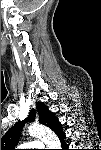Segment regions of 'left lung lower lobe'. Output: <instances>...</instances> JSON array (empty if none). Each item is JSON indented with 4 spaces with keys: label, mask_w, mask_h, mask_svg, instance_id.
Returning <instances> with one entry per match:
<instances>
[{
    "label": "left lung lower lobe",
    "mask_w": 101,
    "mask_h": 150,
    "mask_svg": "<svg viewBox=\"0 0 101 150\" xmlns=\"http://www.w3.org/2000/svg\"><path fill=\"white\" fill-rule=\"evenodd\" d=\"M58 137H59V139H60V141H61V145H62L63 147H66L67 145H66V143H65V141H64L65 134L63 133V131H60V132H59Z\"/></svg>",
    "instance_id": "1"
}]
</instances>
